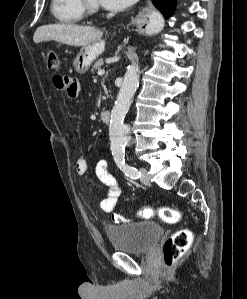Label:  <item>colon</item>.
I'll use <instances>...</instances> for the list:
<instances>
[{
    "mask_svg": "<svg viewBox=\"0 0 247 299\" xmlns=\"http://www.w3.org/2000/svg\"><path fill=\"white\" fill-rule=\"evenodd\" d=\"M45 59L48 69L55 70L58 68L59 61L55 51L48 49L45 52ZM138 215L145 219L158 216L167 223H176L181 218V213L177 209L166 206L158 208L145 207L138 212ZM191 241L192 233L188 229L178 230L168 237L163 245L165 265L169 267L179 260L188 250Z\"/></svg>",
    "mask_w": 247,
    "mask_h": 299,
    "instance_id": "1",
    "label": "colon"
}]
</instances>
